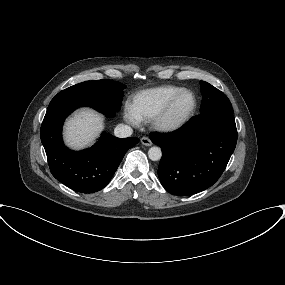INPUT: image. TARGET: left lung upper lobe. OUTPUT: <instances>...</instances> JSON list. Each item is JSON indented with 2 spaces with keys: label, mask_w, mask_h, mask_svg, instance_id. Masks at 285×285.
Wrapping results in <instances>:
<instances>
[{
  "label": "left lung upper lobe",
  "mask_w": 285,
  "mask_h": 285,
  "mask_svg": "<svg viewBox=\"0 0 285 285\" xmlns=\"http://www.w3.org/2000/svg\"><path fill=\"white\" fill-rule=\"evenodd\" d=\"M200 86L202 94L201 113L216 109L233 112L230 100L223 92L204 81H200Z\"/></svg>",
  "instance_id": "left-lung-upper-lobe-1"
}]
</instances>
